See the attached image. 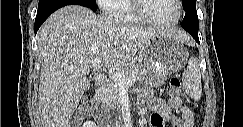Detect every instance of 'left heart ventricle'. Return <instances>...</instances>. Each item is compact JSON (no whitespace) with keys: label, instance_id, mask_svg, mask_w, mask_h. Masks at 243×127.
Returning <instances> with one entry per match:
<instances>
[{"label":"left heart ventricle","instance_id":"b2bd125f","mask_svg":"<svg viewBox=\"0 0 243 127\" xmlns=\"http://www.w3.org/2000/svg\"><path fill=\"white\" fill-rule=\"evenodd\" d=\"M143 6L145 12L157 21L170 22L178 15L174 0H144Z\"/></svg>","mask_w":243,"mask_h":127}]
</instances>
